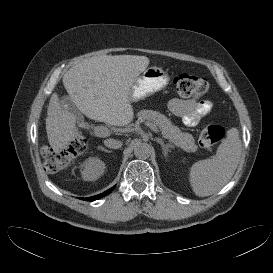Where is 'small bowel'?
Instances as JSON below:
<instances>
[{"mask_svg": "<svg viewBox=\"0 0 273 273\" xmlns=\"http://www.w3.org/2000/svg\"><path fill=\"white\" fill-rule=\"evenodd\" d=\"M213 104L209 100L194 101L172 99L168 103V109L173 114L180 116L185 125L194 127L198 122L208 115L212 110Z\"/></svg>", "mask_w": 273, "mask_h": 273, "instance_id": "c3829d8e", "label": "small bowel"}]
</instances>
